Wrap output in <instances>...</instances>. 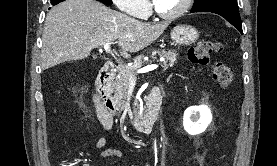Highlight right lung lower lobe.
<instances>
[{
  "instance_id": "98d812e1",
  "label": "right lung lower lobe",
  "mask_w": 277,
  "mask_h": 166,
  "mask_svg": "<svg viewBox=\"0 0 277 166\" xmlns=\"http://www.w3.org/2000/svg\"><path fill=\"white\" fill-rule=\"evenodd\" d=\"M64 0H51V4L52 5H56V4H58V3H60V2H63ZM97 1H100V2H102V3H104V4H106V5H111V4H107V3H105V2H103V1H101V0H97Z\"/></svg>"
}]
</instances>
